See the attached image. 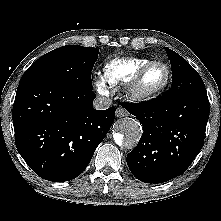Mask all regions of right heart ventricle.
I'll use <instances>...</instances> for the list:
<instances>
[{"label":"right heart ventricle","instance_id":"obj_1","mask_svg":"<svg viewBox=\"0 0 221 221\" xmlns=\"http://www.w3.org/2000/svg\"><path fill=\"white\" fill-rule=\"evenodd\" d=\"M152 62L148 58H115L108 61L103 68V81L109 85L128 84L137 72L146 64Z\"/></svg>","mask_w":221,"mask_h":221}]
</instances>
